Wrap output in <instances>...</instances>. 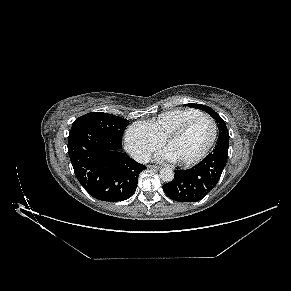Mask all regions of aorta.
Listing matches in <instances>:
<instances>
[{"mask_svg": "<svg viewBox=\"0 0 291 291\" xmlns=\"http://www.w3.org/2000/svg\"><path fill=\"white\" fill-rule=\"evenodd\" d=\"M160 178L164 182H171L174 179V172L171 168H162L160 170Z\"/></svg>", "mask_w": 291, "mask_h": 291, "instance_id": "obj_1", "label": "aorta"}]
</instances>
